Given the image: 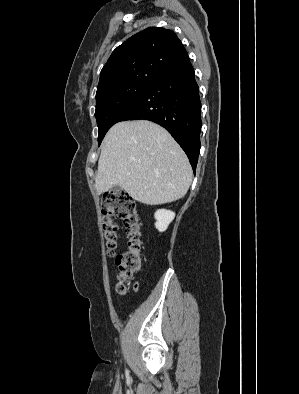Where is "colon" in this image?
I'll use <instances>...</instances> for the list:
<instances>
[{"label": "colon", "mask_w": 299, "mask_h": 394, "mask_svg": "<svg viewBox=\"0 0 299 394\" xmlns=\"http://www.w3.org/2000/svg\"><path fill=\"white\" fill-rule=\"evenodd\" d=\"M102 211V230L105 247L110 256L116 254L119 240L118 226L112 217L123 221L128 237V249L117 255L118 285L120 294L127 292L125 282L136 275L142 265L141 228L133 198L126 192L112 191L105 193L100 201Z\"/></svg>", "instance_id": "1"}]
</instances>
